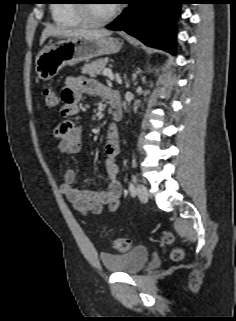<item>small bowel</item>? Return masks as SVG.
<instances>
[{
    "instance_id": "c3829d8e",
    "label": "small bowel",
    "mask_w": 236,
    "mask_h": 321,
    "mask_svg": "<svg viewBox=\"0 0 236 321\" xmlns=\"http://www.w3.org/2000/svg\"><path fill=\"white\" fill-rule=\"evenodd\" d=\"M86 95H99L110 99L118 93L102 86L98 81L78 76L66 78L61 91L63 106L60 109L62 121L53 129V136L58 140V153L67 157L76 155L82 148V131L76 121L79 104ZM120 148V135L116 126L111 125L106 133L104 172L108 178L106 189L91 190L76 187L77 172L68 169L64 173L61 193L79 212L85 215H101L103 208L108 206V212H114L120 203L122 187L117 178L119 166L117 156Z\"/></svg>"
}]
</instances>
